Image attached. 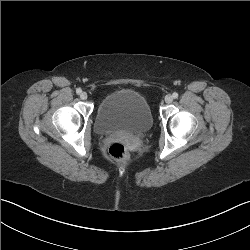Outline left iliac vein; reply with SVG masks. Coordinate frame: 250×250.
<instances>
[{
    "label": "left iliac vein",
    "instance_id": "1",
    "mask_svg": "<svg viewBox=\"0 0 250 250\" xmlns=\"http://www.w3.org/2000/svg\"><path fill=\"white\" fill-rule=\"evenodd\" d=\"M164 100H165L166 103L170 104L173 101V96L168 94V95L165 96Z\"/></svg>",
    "mask_w": 250,
    "mask_h": 250
}]
</instances>
